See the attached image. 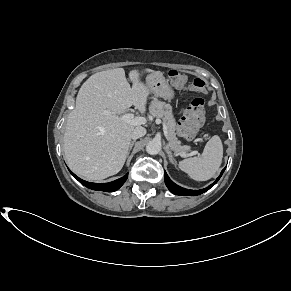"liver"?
Instances as JSON below:
<instances>
[{"label": "liver", "mask_w": 291, "mask_h": 291, "mask_svg": "<svg viewBox=\"0 0 291 291\" xmlns=\"http://www.w3.org/2000/svg\"><path fill=\"white\" fill-rule=\"evenodd\" d=\"M141 73L137 69L129 72L132 88L123 68L95 73L81 86L76 106L67 118L63 145L68 165L76 174L87 180H103L122 169L131 133L141 127L125 122L122 116L132 105L144 114L150 94L140 80Z\"/></svg>", "instance_id": "liver-1"}]
</instances>
